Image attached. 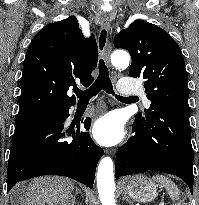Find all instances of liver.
<instances>
[{"label": "liver", "instance_id": "6515ba94", "mask_svg": "<svg viewBox=\"0 0 199 205\" xmlns=\"http://www.w3.org/2000/svg\"><path fill=\"white\" fill-rule=\"evenodd\" d=\"M73 190L74 184L68 178L39 177L30 182L21 200L26 205H73Z\"/></svg>", "mask_w": 199, "mask_h": 205}]
</instances>
